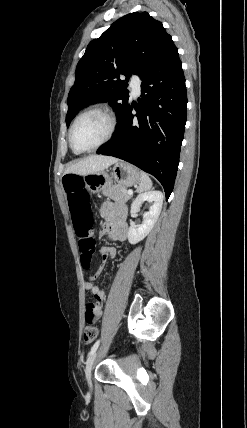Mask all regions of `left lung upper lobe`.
Here are the masks:
<instances>
[{"mask_svg":"<svg viewBox=\"0 0 247 428\" xmlns=\"http://www.w3.org/2000/svg\"><path fill=\"white\" fill-rule=\"evenodd\" d=\"M174 48L162 23L147 12H133L114 22L89 43L77 65L67 99V126L80 109L97 102H109L119 119L129 103L127 84L120 75L141 77Z\"/></svg>","mask_w":247,"mask_h":428,"instance_id":"5c2ea615","label":"left lung upper lobe"}]
</instances>
